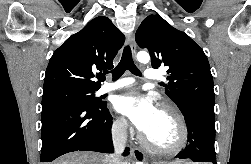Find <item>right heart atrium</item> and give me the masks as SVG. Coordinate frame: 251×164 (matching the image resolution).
<instances>
[{"label": "right heart atrium", "instance_id": "right-heart-atrium-1", "mask_svg": "<svg viewBox=\"0 0 251 164\" xmlns=\"http://www.w3.org/2000/svg\"><path fill=\"white\" fill-rule=\"evenodd\" d=\"M126 127H127V124L123 118L118 117L114 119L113 125H112L114 133L118 135H122L126 132Z\"/></svg>", "mask_w": 251, "mask_h": 164}]
</instances>
